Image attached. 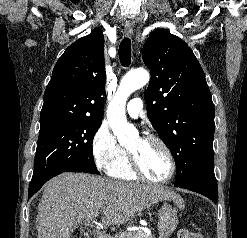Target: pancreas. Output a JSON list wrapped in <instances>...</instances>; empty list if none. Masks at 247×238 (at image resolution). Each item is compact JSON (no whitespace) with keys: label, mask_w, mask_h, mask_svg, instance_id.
I'll use <instances>...</instances> for the list:
<instances>
[{"label":"pancreas","mask_w":247,"mask_h":238,"mask_svg":"<svg viewBox=\"0 0 247 238\" xmlns=\"http://www.w3.org/2000/svg\"><path fill=\"white\" fill-rule=\"evenodd\" d=\"M105 238H153L144 231L122 232L115 237L105 236Z\"/></svg>","instance_id":"obj_1"}]
</instances>
